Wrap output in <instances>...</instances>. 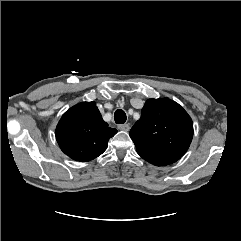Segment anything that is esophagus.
I'll return each instance as SVG.
<instances>
[{
  "mask_svg": "<svg viewBox=\"0 0 241 241\" xmlns=\"http://www.w3.org/2000/svg\"><path fill=\"white\" fill-rule=\"evenodd\" d=\"M118 129L122 130V131H129L130 126H129V124H119Z\"/></svg>",
  "mask_w": 241,
  "mask_h": 241,
  "instance_id": "obj_1",
  "label": "esophagus"
}]
</instances>
